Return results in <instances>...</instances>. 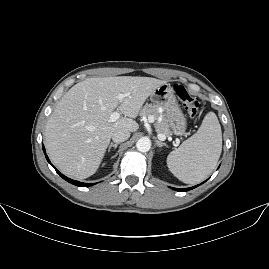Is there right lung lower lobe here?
<instances>
[{"label": "right lung lower lobe", "instance_id": "98d812e1", "mask_svg": "<svg viewBox=\"0 0 269 269\" xmlns=\"http://www.w3.org/2000/svg\"><path fill=\"white\" fill-rule=\"evenodd\" d=\"M43 151L46 152L44 146H43ZM45 156H46L47 161L51 164V162H50V160L48 159L47 155H45ZM51 165H52V164H51ZM52 166H53V165H52ZM53 167H54V166H53ZM54 169L56 170V172H57L63 179H65L66 181H68V182L71 183V184H74V185H76V186H80V187H89V186L93 185L92 183H83V182H79V181L72 180V179H70V178L64 176L63 174H61L55 167H54Z\"/></svg>", "mask_w": 269, "mask_h": 269}]
</instances>
